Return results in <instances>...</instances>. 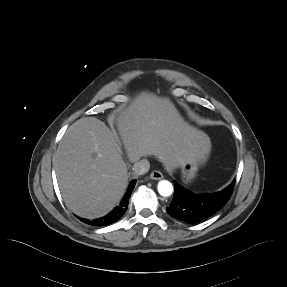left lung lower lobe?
<instances>
[{
    "instance_id": "0a47b994",
    "label": "left lung lower lobe",
    "mask_w": 287,
    "mask_h": 287,
    "mask_svg": "<svg viewBox=\"0 0 287 287\" xmlns=\"http://www.w3.org/2000/svg\"><path fill=\"white\" fill-rule=\"evenodd\" d=\"M172 202L167 207L168 214L180 221L199 223L218 210L229 200L235 181L224 190L213 194H193L177 182Z\"/></svg>"
}]
</instances>
